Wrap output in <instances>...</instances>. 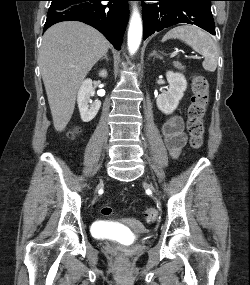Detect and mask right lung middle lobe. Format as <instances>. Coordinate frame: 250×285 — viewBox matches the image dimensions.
Returning a JSON list of instances; mask_svg holds the SVG:
<instances>
[{
  "instance_id": "right-lung-middle-lobe-1",
  "label": "right lung middle lobe",
  "mask_w": 250,
  "mask_h": 285,
  "mask_svg": "<svg viewBox=\"0 0 250 285\" xmlns=\"http://www.w3.org/2000/svg\"><path fill=\"white\" fill-rule=\"evenodd\" d=\"M51 1H52V3H56V2H61L63 0H51Z\"/></svg>"
}]
</instances>
